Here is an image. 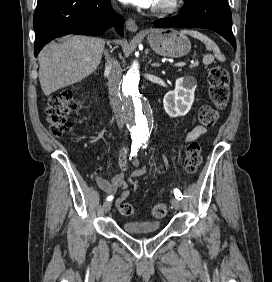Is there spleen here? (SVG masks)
<instances>
[{"label": "spleen", "mask_w": 272, "mask_h": 282, "mask_svg": "<svg viewBox=\"0 0 272 282\" xmlns=\"http://www.w3.org/2000/svg\"><path fill=\"white\" fill-rule=\"evenodd\" d=\"M182 34H188L196 39H199L200 41H202L205 46L206 49L208 51H213L214 56L220 60V61H225L226 58L224 57V55L221 54L220 49L218 48V46L216 45V43L214 41H212L210 38H208L206 35L195 31V30H181Z\"/></svg>", "instance_id": "3e777b00"}]
</instances>
